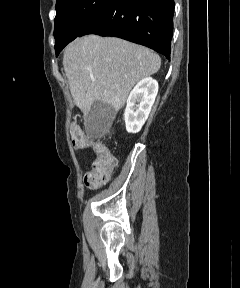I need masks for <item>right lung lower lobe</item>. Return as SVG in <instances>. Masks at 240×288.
I'll return each mask as SVG.
<instances>
[{
    "mask_svg": "<svg viewBox=\"0 0 240 288\" xmlns=\"http://www.w3.org/2000/svg\"><path fill=\"white\" fill-rule=\"evenodd\" d=\"M174 0H113L79 36H115L170 58Z\"/></svg>",
    "mask_w": 240,
    "mask_h": 288,
    "instance_id": "obj_1",
    "label": "right lung lower lobe"
}]
</instances>
